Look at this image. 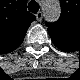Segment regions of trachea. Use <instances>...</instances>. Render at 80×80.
<instances>
[{
    "label": "trachea",
    "mask_w": 80,
    "mask_h": 80,
    "mask_svg": "<svg viewBox=\"0 0 80 80\" xmlns=\"http://www.w3.org/2000/svg\"><path fill=\"white\" fill-rule=\"evenodd\" d=\"M39 4L35 0H31L28 3V10L32 13H37L39 11Z\"/></svg>",
    "instance_id": "1"
}]
</instances>
